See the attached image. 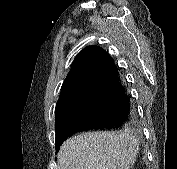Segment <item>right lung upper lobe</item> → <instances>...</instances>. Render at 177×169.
<instances>
[{"label":"right lung upper lobe","mask_w":177,"mask_h":169,"mask_svg":"<svg viewBox=\"0 0 177 169\" xmlns=\"http://www.w3.org/2000/svg\"><path fill=\"white\" fill-rule=\"evenodd\" d=\"M109 62L111 58L102 48L92 45L83 49L75 58L63 82L59 101L86 85L87 81Z\"/></svg>","instance_id":"obj_1"}]
</instances>
